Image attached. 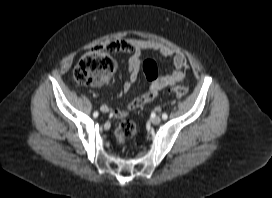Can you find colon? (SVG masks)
<instances>
[{
    "label": "colon",
    "instance_id": "colon-1",
    "mask_svg": "<svg viewBox=\"0 0 272 198\" xmlns=\"http://www.w3.org/2000/svg\"><path fill=\"white\" fill-rule=\"evenodd\" d=\"M109 51L107 48H99L84 54L73 71L75 82L79 85H99L105 82L116 69V62ZM142 69L145 76L157 74V66L152 60H146ZM172 91L177 96H184L188 93V88L176 85ZM137 133L136 125L132 121L123 120L115 132L116 142L122 144Z\"/></svg>",
    "mask_w": 272,
    "mask_h": 198
}]
</instances>
